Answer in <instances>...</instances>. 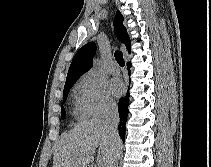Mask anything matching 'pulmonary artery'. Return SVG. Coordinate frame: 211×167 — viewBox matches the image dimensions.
<instances>
[{"label": "pulmonary artery", "instance_id": "e3ab8cb5", "mask_svg": "<svg viewBox=\"0 0 211 167\" xmlns=\"http://www.w3.org/2000/svg\"><path fill=\"white\" fill-rule=\"evenodd\" d=\"M109 71L112 75H118L120 73V69L116 63L112 64Z\"/></svg>", "mask_w": 211, "mask_h": 167}]
</instances>
